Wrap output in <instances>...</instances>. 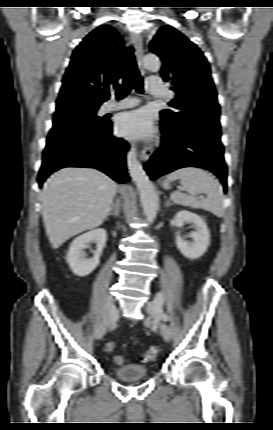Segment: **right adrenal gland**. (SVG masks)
<instances>
[{"instance_id": "2a0ac1e0", "label": "right adrenal gland", "mask_w": 273, "mask_h": 430, "mask_svg": "<svg viewBox=\"0 0 273 430\" xmlns=\"http://www.w3.org/2000/svg\"><path fill=\"white\" fill-rule=\"evenodd\" d=\"M120 207H121L120 201H119V200H117V201H116V203H115V204H113L112 209H111V211L108 213V215H107V216H116V217H118V216H119V213H120Z\"/></svg>"}]
</instances>
